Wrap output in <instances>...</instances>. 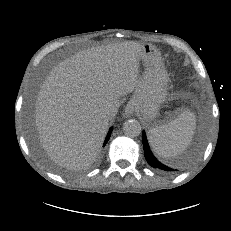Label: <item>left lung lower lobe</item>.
I'll use <instances>...</instances> for the list:
<instances>
[{"label":"left lung lower lobe","instance_id":"left-lung-lower-lobe-1","mask_svg":"<svg viewBox=\"0 0 231 231\" xmlns=\"http://www.w3.org/2000/svg\"><path fill=\"white\" fill-rule=\"evenodd\" d=\"M143 147H144V156L146 158V161L148 162V164L150 166H152L153 168H156L158 170H161L163 172L166 173H173L178 171L177 169L171 168L161 162H159L152 154V152L150 151L149 145L147 143V138L145 135V132H143Z\"/></svg>","mask_w":231,"mask_h":231}]
</instances>
